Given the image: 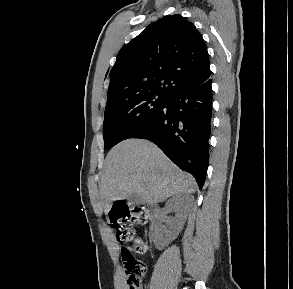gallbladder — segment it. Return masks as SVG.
Instances as JSON below:
<instances>
[{
	"instance_id": "1",
	"label": "gallbladder",
	"mask_w": 293,
	"mask_h": 289,
	"mask_svg": "<svg viewBox=\"0 0 293 289\" xmlns=\"http://www.w3.org/2000/svg\"><path fill=\"white\" fill-rule=\"evenodd\" d=\"M127 201L130 205H139L143 203L141 198L136 193L129 195Z\"/></svg>"
}]
</instances>
